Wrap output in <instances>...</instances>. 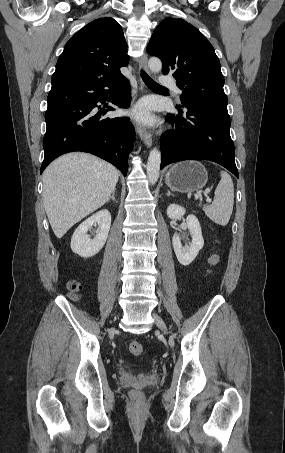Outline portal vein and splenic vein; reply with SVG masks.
<instances>
[{
  "label": "portal vein and splenic vein",
  "instance_id": "obj_1",
  "mask_svg": "<svg viewBox=\"0 0 285 453\" xmlns=\"http://www.w3.org/2000/svg\"><path fill=\"white\" fill-rule=\"evenodd\" d=\"M209 192H210V189H209V188L206 189L205 193L207 194V193H209ZM206 201H207V202H211V199H210V198H207Z\"/></svg>",
  "mask_w": 285,
  "mask_h": 453
}]
</instances>
